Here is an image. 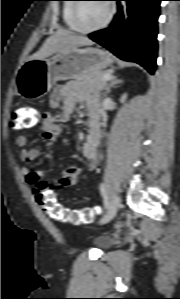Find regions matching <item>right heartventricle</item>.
<instances>
[{"label": "right heart ventricle", "instance_id": "right-heart-ventricle-1", "mask_svg": "<svg viewBox=\"0 0 180 299\" xmlns=\"http://www.w3.org/2000/svg\"><path fill=\"white\" fill-rule=\"evenodd\" d=\"M73 1L74 0H66L65 4L62 8V18L66 25V27L70 30H76L72 20H71V13H72V7H73Z\"/></svg>", "mask_w": 180, "mask_h": 299}]
</instances>
